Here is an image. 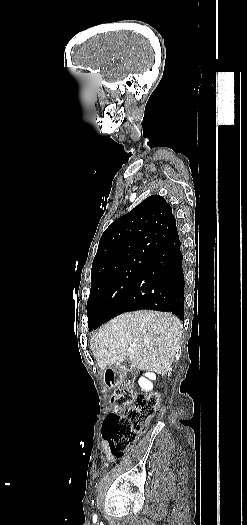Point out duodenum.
<instances>
[{
  "instance_id": "1",
  "label": "duodenum",
  "mask_w": 247,
  "mask_h": 525,
  "mask_svg": "<svg viewBox=\"0 0 247 525\" xmlns=\"http://www.w3.org/2000/svg\"><path fill=\"white\" fill-rule=\"evenodd\" d=\"M126 368V363H121L119 368L108 369L105 372L104 380L107 386L113 387L119 383L122 370Z\"/></svg>"
}]
</instances>
